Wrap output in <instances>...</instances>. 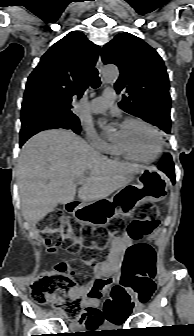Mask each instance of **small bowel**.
<instances>
[{"label": "small bowel", "mask_w": 194, "mask_h": 336, "mask_svg": "<svg viewBox=\"0 0 194 336\" xmlns=\"http://www.w3.org/2000/svg\"><path fill=\"white\" fill-rule=\"evenodd\" d=\"M133 246L128 235H122L112 239L109 253L106 259L92 264L93 277L86 283L79 286L75 293L84 299V311L78 323H89L91 326H98L104 321L102 310L99 308V299L90 296L92 289L103 284L107 279L114 277L125 261L127 251ZM153 272L155 274V255L153 254ZM137 282L134 286L127 287L129 294L135 295L141 290H151L152 281H147L148 273H138ZM154 277V276H153ZM153 280V278H152ZM59 301V300H58Z\"/></svg>", "instance_id": "c3829d8e"}]
</instances>
